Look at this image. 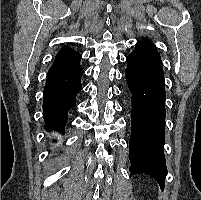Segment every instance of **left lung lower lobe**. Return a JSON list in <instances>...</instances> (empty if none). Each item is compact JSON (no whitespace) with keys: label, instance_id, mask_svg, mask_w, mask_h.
<instances>
[{"label":"left lung lower lobe","instance_id":"left-lung-lower-lobe-1","mask_svg":"<svg viewBox=\"0 0 201 200\" xmlns=\"http://www.w3.org/2000/svg\"><path fill=\"white\" fill-rule=\"evenodd\" d=\"M125 77L132 93L129 158L132 174H147L163 190L167 168L165 142V82L159 54L131 53Z\"/></svg>","mask_w":201,"mask_h":200}]
</instances>
